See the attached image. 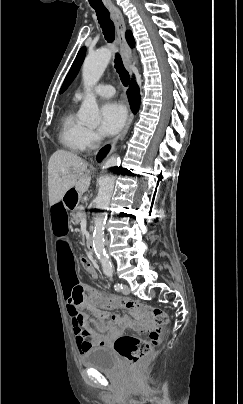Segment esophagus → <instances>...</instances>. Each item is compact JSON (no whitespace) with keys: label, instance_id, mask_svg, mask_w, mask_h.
I'll return each mask as SVG.
<instances>
[{"label":"esophagus","instance_id":"1","mask_svg":"<svg viewBox=\"0 0 243 404\" xmlns=\"http://www.w3.org/2000/svg\"><path fill=\"white\" fill-rule=\"evenodd\" d=\"M108 8L110 10L111 16H112L114 24H115V28H116V32H117V43L120 46V52H121L123 62L125 64V66L128 68V70L130 71L131 75H133L134 71L131 69L132 62L130 59V51H129V47H128V44H127V41L125 38L126 25H125L124 17L122 15L121 11L117 7L111 6ZM133 120H134V115L131 114L121 135L111 142L112 148L115 147V145L118 143V141L121 140V138H123L126 135Z\"/></svg>","mask_w":243,"mask_h":404}]
</instances>
